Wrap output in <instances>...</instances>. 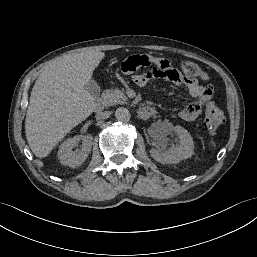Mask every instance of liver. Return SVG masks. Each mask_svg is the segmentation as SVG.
Here are the masks:
<instances>
[{
	"mask_svg": "<svg viewBox=\"0 0 257 257\" xmlns=\"http://www.w3.org/2000/svg\"><path fill=\"white\" fill-rule=\"evenodd\" d=\"M104 52L88 51L53 60L40 73L29 100L25 120L27 142L44 158L67 133L88 118L95 98L85 89Z\"/></svg>",
	"mask_w": 257,
	"mask_h": 257,
	"instance_id": "obj_1",
	"label": "liver"
}]
</instances>
